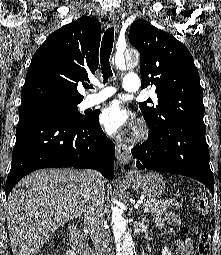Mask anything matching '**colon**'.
<instances>
[{"label":"colon","instance_id":"obj_1","mask_svg":"<svg viewBox=\"0 0 221 255\" xmlns=\"http://www.w3.org/2000/svg\"><path fill=\"white\" fill-rule=\"evenodd\" d=\"M195 204L198 212L206 216L209 214V201L205 195H198L195 198ZM211 234L208 230L202 229L197 239V255H210Z\"/></svg>","mask_w":221,"mask_h":255}]
</instances>
